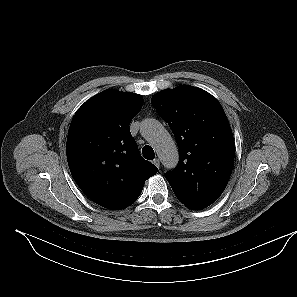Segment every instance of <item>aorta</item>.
<instances>
[{"label": "aorta", "instance_id": "762f6f07", "mask_svg": "<svg viewBox=\"0 0 297 297\" xmlns=\"http://www.w3.org/2000/svg\"><path fill=\"white\" fill-rule=\"evenodd\" d=\"M140 132L156 150L162 164L174 168L179 161L177 146L168 131L155 119H145L141 123Z\"/></svg>", "mask_w": 297, "mask_h": 297}]
</instances>
